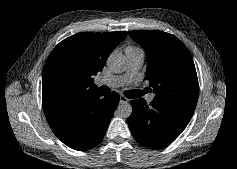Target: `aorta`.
<instances>
[{
    "label": "aorta",
    "instance_id": "1",
    "mask_svg": "<svg viewBox=\"0 0 237 169\" xmlns=\"http://www.w3.org/2000/svg\"><path fill=\"white\" fill-rule=\"evenodd\" d=\"M108 68L113 73H122L127 69V59L123 54H111L107 60ZM132 106L126 101L119 103L116 114L121 118H128L132 114Z\"/></svg>",
    "mask_w": 237,
    "mask_h": 169
}]
</instances>
